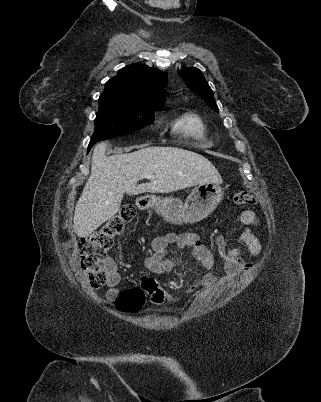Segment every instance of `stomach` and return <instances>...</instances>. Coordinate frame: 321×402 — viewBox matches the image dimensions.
Wrapping results in <instances>:
<instances>
[{
	"label": "stomach",
	"instance_id": "stomach-1",
	"mask_svg": "<svg viewBox=\"0 0 321 402\" xmlns=\"http://www.w3.org/2000/svg\"><path fill=\"white\" fill-rule=\"evenodd\" d=\"M223 195L220 183L209 182L194 188L185 203L177 198L157 196L148 197L147 203L167 222L195 223L211 214L221 202Z\"/></svg>",
	"mask_w": 321,
	"mask_h": 402
}]
</instances>
